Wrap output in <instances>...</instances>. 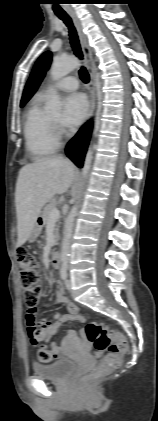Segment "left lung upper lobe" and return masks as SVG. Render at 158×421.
Returning a JSON list of instances; mask_svg holds the SVG:
<instances>
[{
	"label": "left lung upper lobe",
	"mask_w": 158,
	"mask_h": 421,
	"mask_svg": "<svg viewBox=\"0 0 158 421\" xmlns=\"http://www.w3.org/2000/svg\"><path fill=\"white\" fill-rule=\"evenodd\" d=\"M50 63H51V52L47 51L39 57V59L37 60L33 68V71L26 85V88L24 90L23 97L21 100V106H24L25 103L36 92L37 88L39 87L45 75V72L49 68Z\"/></svg>",
	"instance_id": "obj_1"
}]
</instances>
